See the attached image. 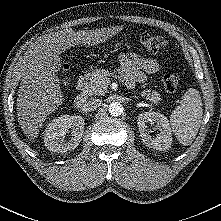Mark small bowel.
<instances>
[{
  "instance_id": "c3829d8e",
  "label": "small bowel",
  "mask_w": 221,
  "mask_h": 221,
  "mask_svg": "<svg viewBox=\"0 0 221 221\" xmlns=\"http://www.w3.org/2000/svg\"><path fill=\"white\" fill-rule=\"evenodd\" d=\"M120 71L127 87L132 88L137 83L146 80V74L160 71V63L153 58H144L137 54H123L120 56Z\"/></svg>"
}]
</instances>
